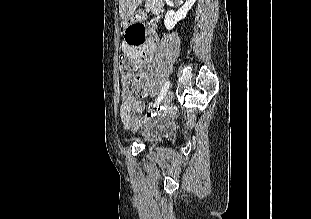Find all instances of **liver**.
<instances>
[{
  "label": "liver",
  "mask_w": 311,
  "mask_h": 219,
  "mask_svg": "<svg viewBox=\"0 0 311 219\" xmlns=\"http://www.w3.org/2000/svg\"><path fill=\"white\" fill-rule=\"evenodd\" d=\"M132 0H119V11L122 18H125L132 12Z\"/></svg>",
  "instance_id": "liver-1"
}]
</instances>
